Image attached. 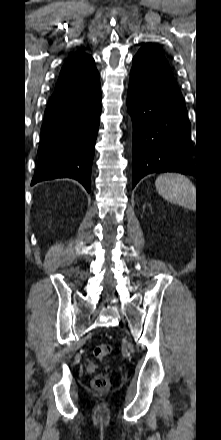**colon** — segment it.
I'll list each match as a JSON object with an SVG mask.
<instances>
[{
    "mask_svg": "<svg viewBox=\"0 0 221 440\" xmlns=\"http://www.w3.org/2000/svg\"><path fill=\"white\" fill-rule=\"evenodd\" d=\"M112 352V347L109 344H100L94 348V356L99 360L106 359ZM111 372V368H106L104 373L97 375L93 381L92 385L97 390H106L110 386V381L108 378V374Z\"/></svg>",
    "mask_w": 221,
    "mask_h": 440,
    "instance_id": "obj_1",
    "label": "colon"
}]
</instances>
